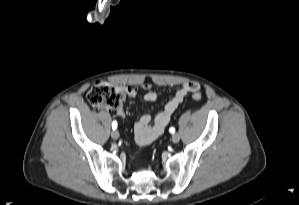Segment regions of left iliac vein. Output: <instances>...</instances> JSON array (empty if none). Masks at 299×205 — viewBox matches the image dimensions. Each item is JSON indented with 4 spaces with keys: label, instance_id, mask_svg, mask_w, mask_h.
Returning <instances> with one entry per match:
<instances>
[{
    "label": "left iliac vein",
    "instance_id": "4c4485c4",
    "mask_svg": "<svg viewBox=\"0 0 299 205\" xmlns=\"http://www.w3.org/2000/svg\"><path fill=\"white\" fill-rule=\"evenodd\" d=\"M179 140H180V134L179 133H173V135H172V141L174 142V143H178L179 142Z\"/></svg>",
    "mask_w": 299,
    "mask_h": 205
}]
</instances>
